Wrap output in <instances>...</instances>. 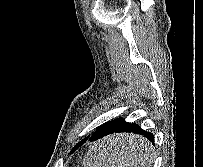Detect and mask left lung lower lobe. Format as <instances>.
Wrapping results in <instances>:
<instances>
[{
	"instance_id": "1",
	"label": "left lung lower lobe",
	"mask_w": 203,
	"mask_h": 167,
	"mask_svg": "<svg viewBox=\"0 0 203 167\" xmlns=\"http://www.w3.org/2000/svg\"><path fill=\"white\" fill-rule=\"evenodd\" d=\"M122 132H127V133H135V134H139L142 135L144 137H146L149 141H151L154 144V135L151 132H147L143 129H141V127L135 123H128L126 122L123 118H117L114 120H111L103 125H101L89 138V141H96L99 140L101 138L107 137L108 138L106 140H102L98 143L101 142H105L107 145H109V148H112L113 150H119L122 147L123 148H129L131 150H135V153L138 152V148L134 145V144H130L129 142H127V139L124 140V142H120L117 141L116 139H114V141H116V143L110 142V139L114 137H111L109 135H112L114 133H122ZM87 140V138L83 139L82 141H80L73 149L71 152L75 151L78 147H80L85 141ZM123 143V144H122ZM140 148V146H139ZM145 146L142 149H144L145 152Z\"/></svg>"
}]
</instances>
